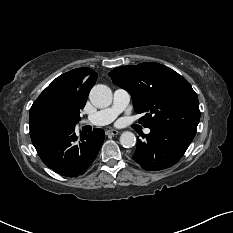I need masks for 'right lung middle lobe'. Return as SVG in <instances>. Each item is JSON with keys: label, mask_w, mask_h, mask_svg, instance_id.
<instances>
[{"label": "right lung middle lobe", "mask_w": 233, "mask_h": 233, "mask_svg": "<svg viewBox=\"0 0 233 233\" xmlns=\"http://www.w3.org/2000/svg\"><path fill=\"white\" fill-rule=\"evenodd\" d=\"M78 119L72 118L66 111L55 104L40 107L30 123L32 127L65 129L76 125Z\"/></svg>", "instance_id": "dd1d6c3e"}]
</instances>
